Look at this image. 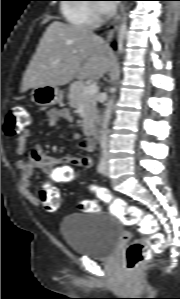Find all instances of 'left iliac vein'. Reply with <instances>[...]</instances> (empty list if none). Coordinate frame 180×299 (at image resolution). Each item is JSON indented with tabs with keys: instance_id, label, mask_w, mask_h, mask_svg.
<instances>
[{
	"instance_id": "1",
	"label": "left iliac vein",
	"mask_w": 180,
	"mask_h": 299,
	"mask_svg": "<svg viewBox=\"0 0 180 299\" xmlns=\"http://www.w3.org/2000/svg\"><path fill=\"white\" fill-rule=\"evenodd\" d=\"M105 175H108L109 174V164H108V162L106 161V163H105Z\"/></svg>"
}]
</instances>
